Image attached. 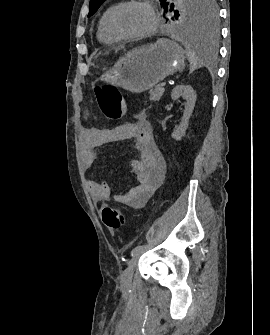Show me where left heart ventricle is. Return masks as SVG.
Instances as JSON below:
<instances>
[{
  "mask_svg": "<svg viewBox=\"0 0 270 335\" xmlns=\"http://www.w3.org/2000/svg\"><path fill=\"white\" fill-rule=\"evenodd\" d=\"M115 24L118 29L129 34L146 32L152 25L150 15L137 4L126 5L116 16ZM148 52H159L151 50Z\"/></svg>",
  "mask_w": 270,
  "mask_h": 335,
  "instance_id": "obj_1",
  "label": "left heart ventricle"
}]
</instances>
